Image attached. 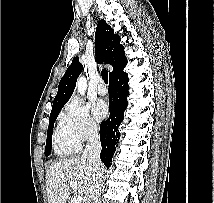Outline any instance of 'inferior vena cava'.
Listing matches in <instances>:
<instances>
[{"label": "inferior vena cava", "mask_w": 214, "mask_h": 203, "mask_svg": "<svg viewBox=\"0 0 214 203\" xmlns=\"http://www.w3.org/2000/svg\"><path fill=\"white\" fill-rule=\"evenodd\" d=\"M101 142L97 127L88 131L87 144L82 157L87 159L90 166V185L84 203H98L101 194L104 166L100 159Z\"/></svg>", "instance_id": "602c4592"}]
</instances>
